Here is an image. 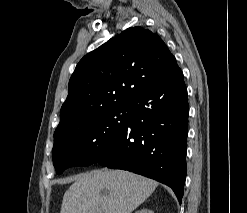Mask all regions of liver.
Instances as JSON below:
<instances>
[{
    "label": "liver",
    "instance_id": "obj_1",
    "mask_svg": "<svg viewBox=\"0 0 247 213\" xmlns=\"http://www.w3.org/2000/svg\"><path fill=\"white\" fill-rule=\"evenodd\" d=\"M157 185L124 170H93L75 177L64 194L60 213H131Z\"/></svg>",
    "mask_w": 247,
    "mask_h": 213
}]
</instances>
